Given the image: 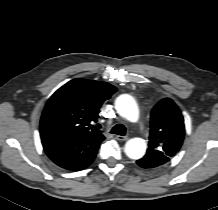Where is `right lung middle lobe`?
<instances>
[{
  "label": "right lung middle lobe",
  "instance_id": "1",
  "mask_svg": "<svg viewBox=\"0 0 218 210\" xmlns=\"http://www.w3.org/2000/svg\"><path fill=\"white\" fill-rule=\"evenodd\" d=\"M56 128V120L52 116H42L40 131H53Z\"/></svg>",
  "mask_w": 218,
  "mask_h": 210
}]
</instances>
